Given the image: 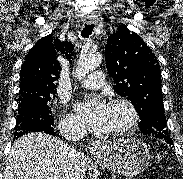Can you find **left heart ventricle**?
Here are the masks:
<instances>
[{"label": "left heart ventricle", "instance_id": "1", "mask_svg": "<svg viewBox=\"0 0 183 179\" xmlns=\"http://www.w3.org/2000/svg\"><path fill=\"white\" fill-rule=\"evenodd\" d=\"M130 115L128 110L123 106H108L107 122L104 131L108 132L128 123Z\"/></svg>", "mask_w": 183, "mask_h": 179}]
</instances>
